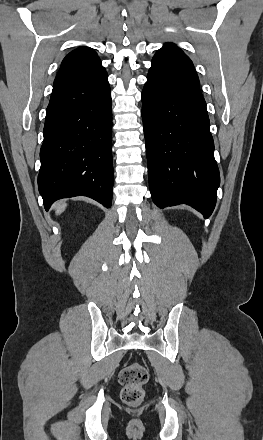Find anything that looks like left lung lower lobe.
Instances as JSON below:
<instances>
[{"label": "left lung lower lobe", "instance_id": "0a47b994", "mask_svg": "<svg viewBox=\"0 0 263 440\" xmlns=\"http://www.w3.org/2000/svg\"><path fill=\"white\" fill-rule=\"evenodd\" d=\"M149 186L155 204L186 203L208 218L220 183L206 103L192 61L168 43L142 92Z\"/></svg>", "mask_w": 263, "mask_h": 440}]
</instances>
